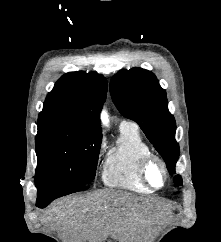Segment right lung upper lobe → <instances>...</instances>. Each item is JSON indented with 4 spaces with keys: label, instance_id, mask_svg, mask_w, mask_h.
<instances>
[{
    "label": "right lung upper lobe",
    "instance_id": "1",
    "mask_svg": "<svg viewBox=\"0 0 221 242\" xmlns=\"http://www.w3.org/2000/svg\"><path fill=\"white\" fill-rule=\"evenodd\" d=\"M102 75L78 71L66 73L47 95L37 126L71 127L100 135L99 114L107 94Z\"/></svg>",
    "mask_w": 221,
    "mask_h": 242
}]
</instances>
